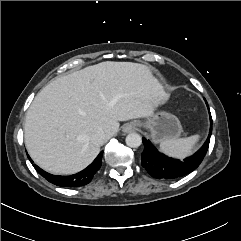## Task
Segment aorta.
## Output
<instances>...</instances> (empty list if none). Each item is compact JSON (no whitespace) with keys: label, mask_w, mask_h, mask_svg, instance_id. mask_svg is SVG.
I'll return each mask as SVG.
<instances>
[{"label":"aorta","mask_w":241,"mask_h":241,"mask_svg":"<svg viewBox=\"0 0 241 241\" xmlns=\"http://www.w3.org/2000/svg\"><path fill=\"white\" fill-rule=\"evenodd\" d=\"M126 145L131 148H137L142 144V138L137 133H130L125 139Z\"/></svg>","instance_id":"1"}]
</instances>
